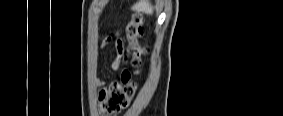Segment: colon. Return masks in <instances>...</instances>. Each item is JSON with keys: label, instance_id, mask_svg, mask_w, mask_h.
Listing matches in <instances>:
<instances>
[{"label": "colon", "instance_id": "obj_1", "mask_svg": "<svg viewBox=\"0 0 283 116\" xmlns=\"http://www.w3.org/2000/svg\"><path fill=\"white\" fill-rule=\"evenodd\" d=\"M142 24L143 16L135 13L125 25V35L128 41L125 54L130 58L135 69L141 66L145 54L144 48L138 42ZM136 87L137 84L129 73L122 75L120 81L107 84L99 92V112L102 115H113L126 108L135 94Z\"/></svg>", "mask_w": 283, "mask_h": 116}]
</instances>
